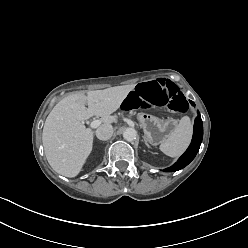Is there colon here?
Segmentation results:
<instances>
[{"label":"colon","mask_w":248,"mask_h":248,"mask_svg":"<svg viewBox=\"0 0 248 248\" xmlns=\"http://www.w3.org/2000/svg\"><path fill=\"white\" fill-rule=\"evenodd\" d=\"M122 107L126 111L165 107L175 113H183L187 109L185 98L178 87L163 79L142 83L130 89Z\"/></svg>","instance_id":"colon-1"}]
</instances>
